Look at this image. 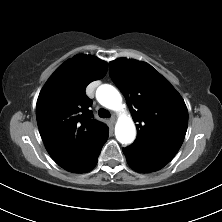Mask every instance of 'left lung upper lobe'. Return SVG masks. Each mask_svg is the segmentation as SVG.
<instances>
[{
	"label": "left lung upper lobe",
	"mask_w": 222,
	"mask_h": 222,
	"mask_svg": "<svg viewBox=\"0 0 222 222\" xmlns=\"http://www.w3.org/2000/svg\"><path fill=\"white\" fill-rule=\"evenodd\" d=\"M109 67L137 122V138L123 153L136 165L157 171L173 159L184 140L188 126L184 100L145 62L120 58Z\"/></svg>",
	"instance_id": "5c2ea615"
}]
</instances>
